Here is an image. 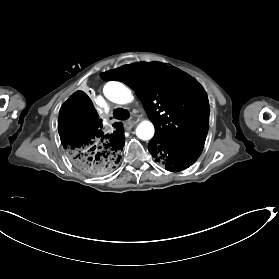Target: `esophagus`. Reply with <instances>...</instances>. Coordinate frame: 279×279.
Segmentation results:
<instances>
[{"label":"esophagus","mask_w":279,"mask_h":279,"mask_svg":"<svg viewBox=\"0 0 279 279\" xmlns=\"http://www.w3.org/2000/svg\"><path fill=\"white\" fill-rule=\"evenodd\" d=\"M134 124L135 123L133 121L127 120L124 122L123 126H124V129L128 131L134 126Z\"/></svg>","instance_id":"obj_1"}]
</instances>
